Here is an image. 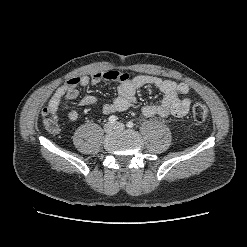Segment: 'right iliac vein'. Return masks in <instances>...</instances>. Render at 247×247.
Masks as SVG:
<instances>
[{
	"instance_id": "1",
	"label": "right iliac vein",
	"mask_w": 247,
	"mask_h": 247,
	"mask_svg": "<svg viewBox=\"0 0 247 247\" xmlns=\"http://www.w3.org/2000/svg\"><path fill=\"white\" fill-rule=\"evenodd\" d=\"M113 124H111L110 122H108V123H106L105 125H104V131L106 132V133H110L112 130H113Z\"/></svg>"
}]
</instances>
